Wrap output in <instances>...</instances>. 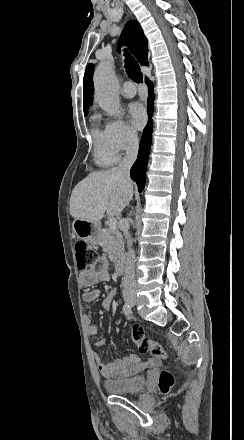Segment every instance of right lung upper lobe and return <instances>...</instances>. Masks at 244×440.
Instances as JSON below:
<instances>
[{
  "label": "right lung upper lobe",
  "instance_id": "obj_1",
  "mask_svg": "<svg viewBox=\"0 0 244 440\" xmlns=\"http://www.w3.org/2000/svg\"><path fill=\"white\" fill-rule=\"evenodd\" d=\"M124 43L129 46L130 50L133 52L137 60L142 65L148 64L147 39L144 36L143 30L137 21L131 20L126 24L124 30L122 31L118 47H120ZM93 71L94 66L92 64H89L84 74V111H87L89 109V106L91 105L93 100Z\"/></svg>",
  "mask_w": 244,
  "mask_h": 440
}]
</instances>
